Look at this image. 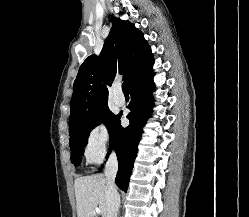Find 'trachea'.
I'll return each mask as SVG.
<instances>
[{
  "mask_svg": "<svg viewBox=\"0 0 249 217\" xmlns=\"http://www.w3.org/2000/svg\"><path fill=\"white\" fill-rule=\"evenodd\" d=\"M122 91H123L124 94H128L129 93L126 82H123V84H122Z\"/></svg>",
  "mask_w": 249,
  "mask_h": 217,
  "instance_id": "obj_1",
  "label": "trachea"
}]
</instances>
